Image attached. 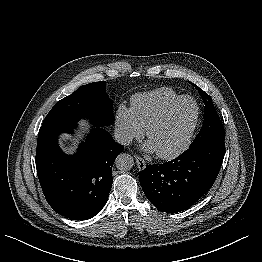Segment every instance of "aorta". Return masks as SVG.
Here are the masks:
<instances>
[{"label": "aorta", "mask_w": 262, "mask_h": 262, "mask_svg": "<svg viewBox=\"0 0 262 262\" xmlns=\"http://www.w3.org/2000/svg\"><path fill=\"white\" fill-rule=\"evenodd\" d=\"M115 164L120 171H128L133 167L134 160L131 155L122 153L116 158Z\"/></svg>", "instance_id": "1"}]
</instances>
